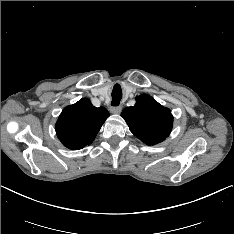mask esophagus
<instances>
[{
	"instance_id": "obj_1",
	"label": "esophagus",
	"mask_w": 234,
	"mask_h": 234,
	"mask_svg": "<svg viewBox=\"0 0 234 234\" xmlns=\"http://www.w3.org/2000/svg\"><path fill=\"white\" fill-rule=\"evenodd\" d=\"M121 110H122L121 106L110 107V112L113 114H119L121 112Z\"/></svg>"
}]
</instances>
